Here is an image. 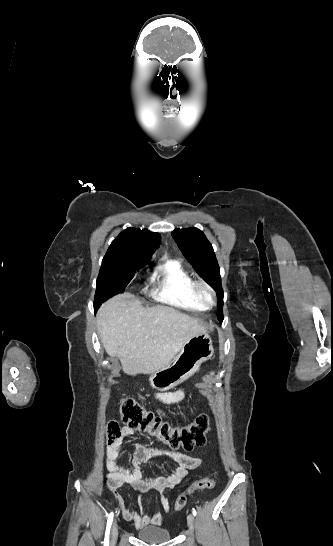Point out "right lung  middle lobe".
I'll use <instances>...</instances> for the list:
<instances>
[{
	"mask_svg": "<svg viewBox=\"0 0 333 546\" xmlns=\"http://www.w3.org/2000/svg\"><path fill=\"white\" fill-rule=\"evenodd\" d=\"M136 272L121 260L104 258L97 279L94 304L99 307L108 298L123 293Z\"/></svg>",
	"mask_w": 333,
	"mask_h": 546,
	"instance_id": "right-lung-middle-lobe-1",
	"label": "right lung middle lobe"
}]
</instances>
